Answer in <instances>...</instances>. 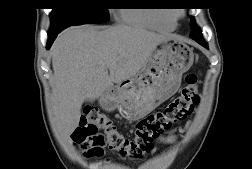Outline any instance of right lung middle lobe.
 I'll return each mask as SVG.
<instances>
[{"label": "right lung middle lobe", "mask_w": 252, "mask_h": 169, "mask_svg": "<svg viewBox=\"0 0 252 169\" xmlns=\"http://www.w3.org/2000/svg\"><path fill=\"white\" fill-rule=\"evenodd\" d=\"M107 0H53L50 31L71 25L109 21Z\"/></svg>", "instance_id": "right-lung-middle-lobe-1"}]
</instances>
